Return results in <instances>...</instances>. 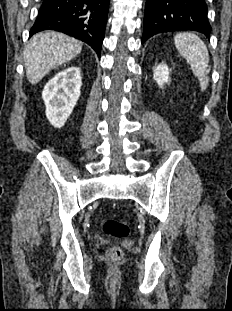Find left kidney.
<instances>
[{"label":"left kidney","mask_w":232,"mask_h":311,"mask_svg":"<svg viewBox=\"0 0 232 311\" xmlns=\"http://www.w3.org/2000/svg\"><path fill=\"white\" fill-rule=\"evenodd\" d=\"M169 68L166 64L161 63L154 69V80L157 82L160 88H163L164 83H169Z\"/></svg>","instance_id":"obj_1"}]
</instances>
